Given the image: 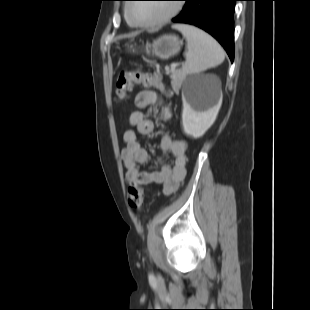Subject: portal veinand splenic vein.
Instances as JSON below:
<instances>
[{
  "mask_svg": "<svg viewBox=\"0 0 310 310\" xmlns=\"http://www.w3.org/2000/svg\"><path fill=\"white\" fill-rule=\"evenodd\" d=\"M177 66L178 64H171L170 65L171 71H174ZM166 70L169 71V68L167 67Z\"/></svg>",
  "mask_w": 310,
  "mask_h": 310,
  "instance_id": "1",
  "label": "portal vein and splenic vein"
}]
</instances>
